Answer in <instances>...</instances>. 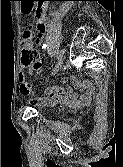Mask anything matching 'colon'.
<instances>
[{
    "instance_id": "obj_1",
    "label": "colon",
    "mask_w": 123,
    "mask_h": 167,
    "mask_svg": "<svg viewBox=\"0 0 123 167\" xmlns=\"http://www.w3.org/2000/svg\"><path fill=\"white\" fill-rule=\"evenodd\" d=\"M42 11L37 9V33L34 34L33 31L27 30L24 34L23 48L21 50V63L24 66H33L34 68L39 67L41 64L39 52L35 47L38 43L39 37L44 31V23L42 18Z\"/></svg>"
}]
</instances>
